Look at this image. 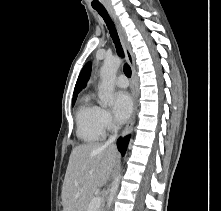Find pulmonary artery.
I'll return each mask as SVG.
<instances>
[{"label": "pulmonary artery", "mask_w": 221, "mask_h": 211, "mask_svg": "<svg viewBox=\"0 0 221 211\" xmlns=\"http://www.w3.org/2000/svg\"><path fill=\"white\" fill-rule=\"evenodd\" d=\"M116 86L126 88L128 86V79L124 75H119L115 80Z\"/></svg>", "instance_id": "1"}]
</instances>
